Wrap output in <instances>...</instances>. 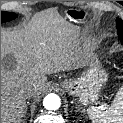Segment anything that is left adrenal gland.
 <instances>
[{
    "label": "left adrenal gland",
    "mask_w": 123,
    "mask_h": 123,
    "mask_svg": "<svg viewBox=\"0 0 123 123\" xmlns=\"http://www.w3.org/2000/svg\"><path fill=\"white\" fill-rule=\"evenodd\" d=\"M81 112L84 113L85 112L84 109Z\"/></svg>",
    "instance_id": "obj_1"
}]
</instances>
